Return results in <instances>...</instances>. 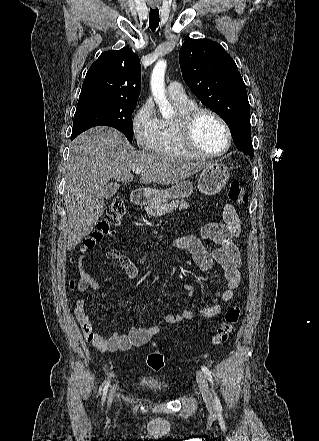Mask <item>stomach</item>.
I'll use <instances>...</instances> for the list:
<instances>
[{"instance_id": "obj_1", "label": "stomach", "mask_w": 319, "mask_h": 441, "mask_svg": "<svg viewBox=\"0 0 319 441\" xmlns=\"http://www.w3.org/2000/svg\"><path fill=\"white\" fill-rule=\"evenodd\" d=\"M229 176V168L226 165L218 162L209 163L203 168L199 176L198 189L205 195H215L225 187ZM192 191V183L183 181L164 191H154L153 199L157 201H178L188 197Z\"/></svg>"}]
</instances>
